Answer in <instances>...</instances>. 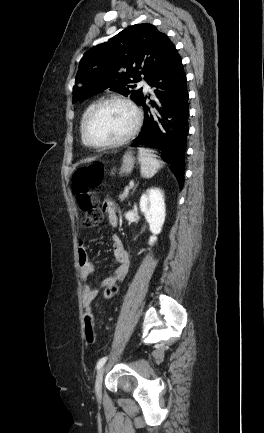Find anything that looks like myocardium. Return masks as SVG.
I'll use <instances>...</instances> for the list:
<instances>
[{"label": "myocardium", "mask_w": 264, "mask_h": 433, "mask_svg": "<svg viewBox=\"0 0 264 433\" xmlns=\"http://www.w3.org/2000/svg\"><path fill=\"white\" fill-rule=\"evenodd\" d=\"M109 103L122 104V105H124L130 109V111L132 112L133 117H134L132 127L124 136H122L116 140L101 142V143L94 142L89 137V135L87 133L88 122H89L90 118L92 117V115L100 107H102L106 104H109ZM141 123H142V114H141L140 109L136 106V104L134 102H132L130 99L122 97V96H110V97H106V98H102V99L98 100L89 108V110L86 112V114L83 118L82 124H81V134H82V138H83L84 142L91 147H94V148L117 147V146L123 145L126 142H128L129 140H131L137 134L138 130L140 129Z\"/></svg>", "instance_id": "1"}]
</instances>
